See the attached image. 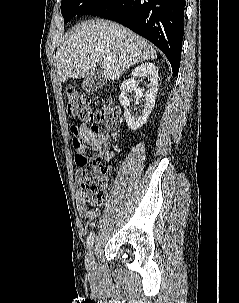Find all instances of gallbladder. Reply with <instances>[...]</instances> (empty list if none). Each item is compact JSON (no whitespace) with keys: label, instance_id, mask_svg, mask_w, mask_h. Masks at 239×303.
Returning <instances> with one entry per match:
<instances>
[{"label":"gallbladder","instance_id":"bac80fb5","mask_svg":"<svg viewBox=\"0 0 239 303\" xmlns=\"http://www.w3.org/2000/svg\"><path fill=\"white\" fill-rule=\"evenodd\" d=\"M105 83V78L102 73L97 71L90 76L86 77L82 82V89L85 91H95L98 88L102 87Z\"/></svg>","mask_w":239,"mask_h":303}]
</instances>
